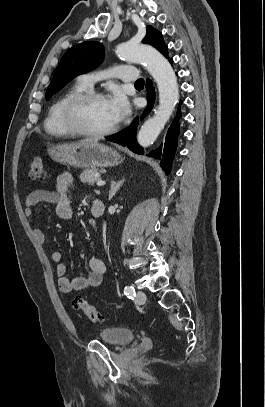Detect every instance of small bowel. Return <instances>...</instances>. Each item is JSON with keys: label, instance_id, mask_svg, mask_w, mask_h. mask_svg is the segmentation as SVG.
Returning <instances> with one entry per match:
<instances>
[{"label": "small bowel", "instance_id": "obj_1", "mask_svg": "<svg viewBox=\"0 0 265 407\" xmlns=\"http://www.w3.org/2000/svg\"><path fill=\"white\" fill-rule=\"evenodd\" d=\"M74 182V177L71 173H61L56 180L55 191L36 189L29 193L25 199L24 213L29 222L35 225V218L32 212V207L41 203L49 202L55 204L56 215L62 220H70L72 218L71 200L69 197V188ZM36 239L40 243H45L47 238L45 232L38 228H34ZM51 260L56 264V273L58 276V287L63 293H71L74 291H82L88 287H97L102 283L105 274V264L99 258H90L88 261L89 274L73 279L67 277L68 267L63 261L62 253L54 251L50 255Z\"/></svg>", "mask_w": 265, "mask_h": 407}]
</instances>
